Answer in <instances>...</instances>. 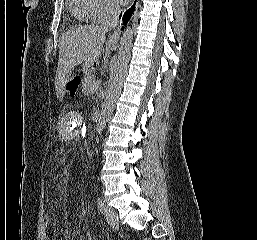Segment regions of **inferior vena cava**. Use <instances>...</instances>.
Wrapping results in <instances>:
<instances>
[{"mask_svg": "<svg viewBox=\"0 0 257 240\" xmlns=\"http://www.w3.org/2000/svg\"><path fill=\"white\" fill-rule=\"evenodd\" d=\"M120 8L114 3H110L107 8V15L104 23L101 25L103 31H108L116 28L119 22Z\"/></svg>", "mask_w": 257, "mask_h": 240, "instance_id": "obj_1", "label": "inferior vena cava"}]
</instances>
